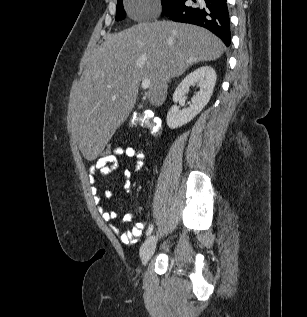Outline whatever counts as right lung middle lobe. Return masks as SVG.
I'll return each mask as SVG.
<instances>
[{
	"mask_svg": "<svg viewBox=\"0 0 307 317\" xmlns=\"http://www.w3.org/2000/svg\"><path fill=\"white\" fill-rule=\"evenodd\" d=\"M162 2V10L165 11L170 5H172L174 3V0H161ZM116 20H122L125 18L126 13L123 9V4H122V0H119L117 2V7H116Z\"/></svg>",
	"mask_w": 307,
	"mask_h": 317,
	"instance_id": "1",
	"label": "right lung middle lobe"
}]
</instances>
